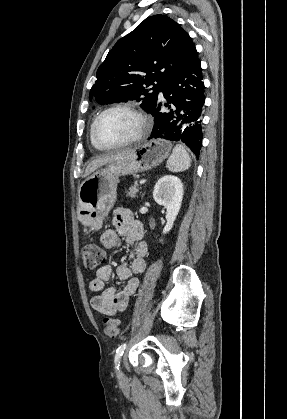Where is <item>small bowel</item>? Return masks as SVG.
Segmentation results:
<instances>
[{
  "label": "small bowel",
  "instance_id": "obj_1",
  "mask_svg": "<svg viewBox=\"0 0 287 419\" xmlns=\"http://www.w3.org/2000/svg\"><path fill=\"white\" fill-rule=\"evenodd\" d=\"M115 229H108L100 237V243L107 249L119 247V236L131 246L129 263L120 264L116 268V276L119 280L126 281V285L120 291L113 287H105V283L112 276V267L105 265L96 272V277L90 282V290L100 292L91 299V305L101 315L112 316L118 311L126 309L130 297L136 292L139 286L138 275L146 266L145 256L148 252L143 238L142 224L134 219L132 212L126 208L115 210L113 219Z\"/></svg>",
  "mask_w": 287,
  "mask_h": 419
}]
</instances>
